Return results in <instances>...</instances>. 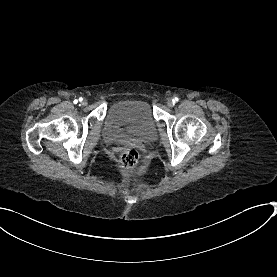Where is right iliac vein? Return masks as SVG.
Wrapping results in <instances>:
<instances>
[{"label": "right iliac vein", "mask_w": 277, "mask_h": 277, "mask_svg": "<svg viewBox=\"0 0 277 277\" xmlns=\"http://www.w3.org/2000/svg\"><path fill=\"white\" fill-rule=\"evenodd\" d=\"M81 103H82V105L85 106V105L87 104V101H86V100H83Z\"/></svg>", "instance_id": "63e3f726"}]
</instances>
